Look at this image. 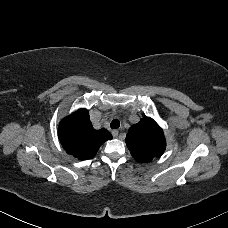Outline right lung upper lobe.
I'll return each mask as SVG.
<instances>
[{
    "label": "right lung upper lobe",
    "mask_w": 228,
    "mask_h": 228,
    "mask_svg": "<svg viewBox=\"0 0 228 228\" xmlns=\"http://www.w3.org/2000/svg\"><path fill=\"white\" fill-rule=\"evenodd\" d=\"M106 129L95 130L86 109H79L59 124V139L65 151L80 160L94 157L99 147L111 139Z\"/></svg>",
    "instance_id": "right-lung-upper-lobe-1"
}]
</instances>
